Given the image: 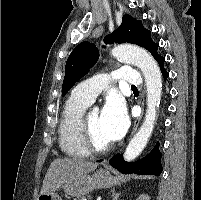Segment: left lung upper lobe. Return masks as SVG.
<instances>
[{"label":"left lung upper lobe","mask_w":201,"mask_h":200,"mask_svg":"<svg viewBox=\"0 0 201 200\" xmlns=\"http://www.w3.org/2000/svg\"><path fill=\"white\" fill-rule=\"evenodd\" d=\"M106 44L115 43H133L146 48L154 58L157 53L158 44L151 39V32L144 28L140 20L125 14L122 18V24L110 35L104 38ZM99 57V51L95 44L82 42L72 51L67 59L65 66V77L63 80V96L72 88V86L95 65Z\"/></svg>","instance_id":"left-lung-upper-lobe-1"}]
</instances>
